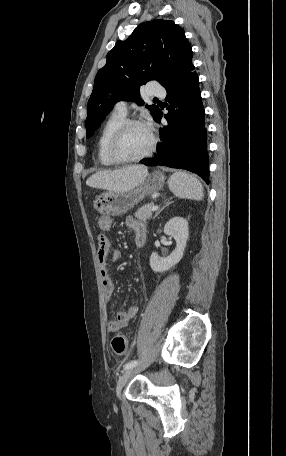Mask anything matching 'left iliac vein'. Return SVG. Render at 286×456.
<instances>
[{
	"label": "left iliac vein",
	"instance_id": "4c4485c4",
	"mask_svg": "<svg viewBox=\"0 0 286 456\" xmlns=\"http://www.w3.org/2000/svg\"><path fill=\"white\" fill-rule=\"evenodd\" d=\"M134 372V368L126 369L122 376L119 378L116 386V393L117 396L120 397L122 388L125 386L129 378L131 377L132 373Z\"/></svg>",
	"mask_w": 286,
	"mask_h": 456
}]
</instances>
